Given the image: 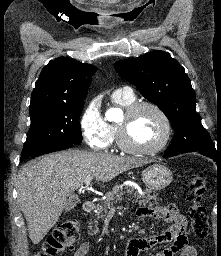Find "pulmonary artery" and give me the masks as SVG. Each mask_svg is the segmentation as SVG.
Masks as SVG:
<instances>
[{"label": "pulmonary artery", "mask_w": 221, "mask_h": 256, "mask_svg": "<svg viewBox=\"0 0 221 256\" xmlns=\"http://www.w3.org/2000/svg\"><path fill=\"white\" fill-rule=\"evenodd\" d=\"M113 95H124V96H132L133 92L129 87L117 88Z\"/></svg>", "instance_id": "e3ab8cb5"}]
</instances>
